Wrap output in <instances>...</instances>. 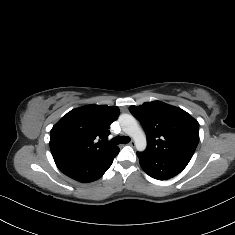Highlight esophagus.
Masks as SVG:
<instances>
[{
	"mask_svg": "<svg viewBox=\"0 0 235 235\" xmlns=\"http://www.w3.org/2000/svg\"><path fill=\"white\" fill-rule=\"evenodd\" d=\"M128 145H130V146H135V142L132 140V141H130V142L128 143Z\"/></svg>",
	"mask_w": 235,
	"mask_h": 235,
	"instance_id": "esophagus-1",
	"label": "esophagus"
}]
</instances>
